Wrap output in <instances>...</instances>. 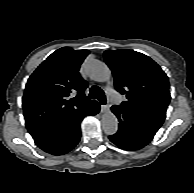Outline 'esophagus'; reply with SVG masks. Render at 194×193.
I'll return each instance as SVG.
<instances>
[{"instance_id": "obj_1", "label": "esophagus", "mask_w": 194, "mask_h": 193, "mask_svg": "<svg viewBox=\"0 0 194 193\" xmlns=\"http://www.w3.org/2000/svg\"><path fill=\"white\" fill-rule=\"evenodd\" d=\"M108 110H109V106L108 105L101 104V112H107Z\"/></svg>"}]
</instances>
